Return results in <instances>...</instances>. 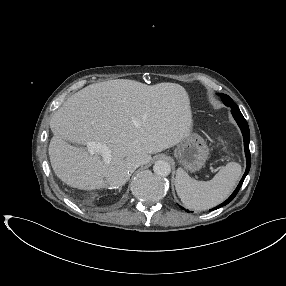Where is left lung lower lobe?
<instances>
[{
	"instance_id": "left-lung-lower-lobe-1",
	"label": "left lung lower lobe",
	"mask_w": 286,
	"mask_h": 286,
	"mask_svg": "<svg viewBox=\"0 0 286 286\" xmlns=\"http://www.w3.org/2000/svg\"><path fill=\"white\" fill-rule=\"evenodd\" d=\"M231 112H232V115H233L234 119L236 120L237 124L239 125V127H240V129L242 131V134H243L247 167H246V171H245L242 179L240 180L237 188L231 194V196L226 201H224L222 204L218 205L217 207L213 208L212 210L218 209V208H220L222 206L227 205L229 202H231L235 198V196L237 195L240 187L243 184V181H244L246 175L248 174V172L250 170V165H251V157H250V151H249L250 131H249L248 124H247L245 118L243 117L242 113L240 112V110L231 109ZM181 209H184V208L181 207ZM186 211L189 212L188 210H186Z\"/></svg>"
}]
</instances>
